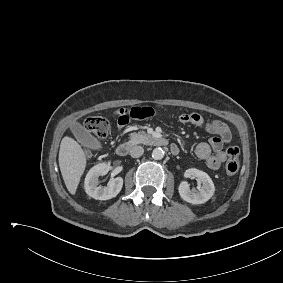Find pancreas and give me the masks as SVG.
<instances>
[{"label": "pancreas", "mask_w": 283, "mask_h": 283, "mask_svg": "<svg viewBox=\"0 0 283 283\" xmlns=\"http://www.w3.org/2000/svg\"><path fill=\"white\" fill-rule=\"evenodd\" d=\"M151 136L144 133V132H138V133H131L130 134V140L129 144H147L150 142Z\"/></svg>", "instance_id": "obj_1"}]
</instances>
